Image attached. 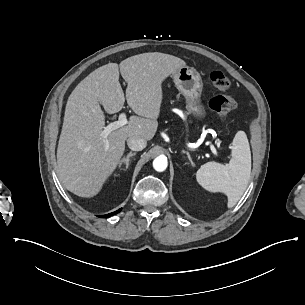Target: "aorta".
Returning <instances> with one entry per match:
<instances>
[{
	"instance_id": "obj_1",
	"label": "aorta",
	"mask_w": 305,
	"mask_h": 305,
	"mask_svg": "<svg viewBox=\"0 0 305 305\" xmlns=\"http://www.w3.org/2000/svg\"><path fill=\"white\" fill-rule=\"evenodd\" d=\"M168 166L167 157L158 156L153 160V168L158 172H163Z\"/></svg>"
}]
</instances>
